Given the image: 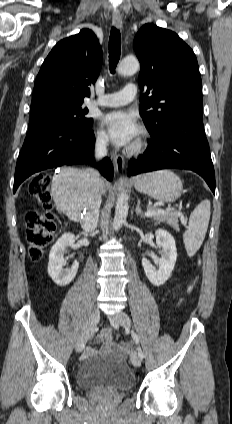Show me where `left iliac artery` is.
<instances>
[{
	"label": "left iliac artery",
	"mask_w": 232,
	"mask_h": 424,
	"mask_svg": "<svg viewBox=\"0 0 232 424\" xmlns=\"http://www.w3.org/2000/svg\"><path fill=\"white\" fill-rule=\"evenodd\" d=\"M132 337H133L134 341L136 342V344L138 345V355H139V357H140L141 359H143V358H144V353H143V351H142L141 347L139 346V338H138V335H137L135 332H133V331H132Z\"/></svg>",
	"instance_id": "left-iliac-artery-1"
}]
</instances>
